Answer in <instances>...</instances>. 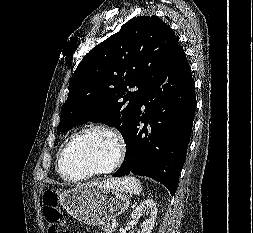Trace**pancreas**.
<instances>
[{
    "label": "pancreas",
    "mask_w": 253,
    "mask_h": 233,
    "mask_svg": "<svg viewBox=\"0 0 253 233\" xmlns=\"http://www.w3.org/2000/svg\"><path fill=\"white\" fill-rule=\"evenodd\" d=\"M101 228H102L103 232H100V233H112L115 230L110 224H105Z\"/></svg>",
    "instance_id": "pancreas-1"
}]
</instances>
